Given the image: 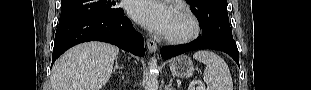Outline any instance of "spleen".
I'll return each mask as SVG.
<instances>
[{"label": "spleen", "instance_id": "1", "mask_svg": "<svg viewBox=\"0 0 311 90\" xmlns=\"http://www.w3.org/2000/svg\"><path fill=\"white\" fill-rule=\"evenodd\" d=\"M193 58L206 66L203 80L210 90H233L230 70L220 56L211 51L203 50L196 52Z\"/></svg>", "mask_w": 311, "mask_h": 90}]
</instances>
